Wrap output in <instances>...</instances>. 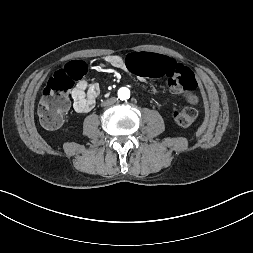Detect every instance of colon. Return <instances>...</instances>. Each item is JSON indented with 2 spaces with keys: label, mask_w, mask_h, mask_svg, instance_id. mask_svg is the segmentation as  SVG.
I'll return each instance as SVG.
<instances>
[{
  "label": "colon",
  "mask_w": 253,
  "mask_h": 253,
  "mask_svg": "<svg viewBox=\"0 0 253 253\" xmlns=\"http://www.w3.org/2000/svg\"><path fill=\"white\" fill-rule=\"evenodd\" d=\"M127 66L139 77L167 78L170 88L182 94L187 103L174 113L175 122L181 127H188L196 122L197 81L188 67L165 54L150 51L132 52L127 58ZM86 72L87 66L76 61L57 71L49 79L38 106V115L45 128L54 129L60 126L69 108V92Z\"/></svg>",
  "instance_id": "obj_1"
}]
</instances>
